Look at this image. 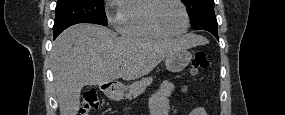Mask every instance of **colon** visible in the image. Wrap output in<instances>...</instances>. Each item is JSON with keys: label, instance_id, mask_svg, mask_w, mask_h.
<instances>
[{"label": "colon", "instance_id": "colon-1", "mask_svg": "<svg viewBox=\"0 0 285 115\" xmlns=\"http://www.w3.org/2000/svg\"><path fill=\"white\" fill-rule=\"evenodd\" d=\"M209 62L204 52H196L191 63V72L197 74L198 72L207 69ZM99 102L94 91H88L83 96L82 106L80 108V115H87L90 111L97 110Z\"/></svg>", "mask_w": 285, "mask_h": 115}]
</instances>
